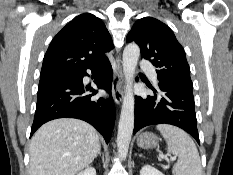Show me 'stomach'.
Returning <instances> with one entry per match:
<instances>
[{
  "label": "stomach",
  "mask_w": 233,
  "mask_h": 175,
  "mask_svg": "<svg viewBox=\"0 0 233 175\" xmlns=\"http://www.w3.org/2000/svg\"><path fill=\"white\" fill-rule=\"evenodd\" d=\"M137 143L142 148H153L158 143V138L153 133L145 132L139 135Z\"/></svg>",
  "instance_id": "1"
}]
</instances>
